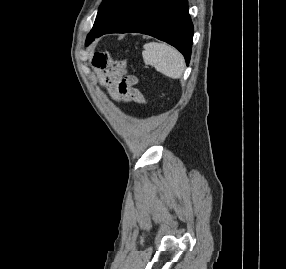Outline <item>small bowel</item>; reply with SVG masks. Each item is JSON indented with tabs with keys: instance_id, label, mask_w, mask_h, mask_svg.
<instances>
[{
	"instance_id": "small-bowel-1",
	"label": "small bowel",
	"mask_w": 286,
	"mask_h": 269,
	"mask_svg": "<svg viewBox=\"0 0 286 269\" xmlns=\"http://www.w3.org/2000/svg\"><path fill=\"white\" fill-rule=\"evenodd\" d=\"M95 77L100 86L106 87L113 99L117 102L123 100L120 83L122 70H115V64L106 54L96 53L93 59Z\"/></svg>"
}]
</instances>
